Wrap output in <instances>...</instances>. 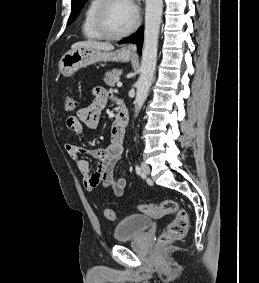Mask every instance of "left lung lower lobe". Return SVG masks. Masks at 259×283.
I'll use <instances>...</instances> for the list:
<instances>
[{
    "instance_id": "0a47b994",
    "label": "left lung lower lobe",
    "mask_w": 259,
    "mask_h": 283,
    "mask_svg": "<svg viewBox=\"0 0 259 283\" xmlns=\"http://www.w3.org/2000/svg\"><path fill=\"white\" fill-rule=\"evenodd\" d=\"M120 44L124 43H137L138 54L141 55L142 43H143V28H140L137 33L132 36L123 39L119 42Z\"/></svg>"
}]
</instances>
